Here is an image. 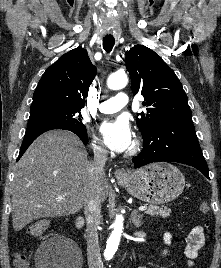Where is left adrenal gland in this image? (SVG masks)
I'll return each mask as SVG.
<instances>
[{
    "label": "left adrenal gland",
    "instance_id": "left-adrenal-gland-1",
    "mask_svg": "<svg viewBox=\"0 0 221 268\" xmlns=\"http://www.w3.org/2000/svg\"><path fill=\"white\" fill-rule=\"evenodd\" d=\"M142 219H143V215L139 214L137 210H134L131 213V220L132 223L136 226V227H140L142 225Z\"/></svg>",
    "mask_w": 221,
    "mask_h": 268
}]
</instances>
